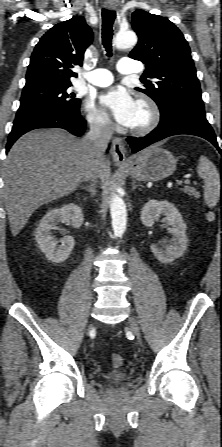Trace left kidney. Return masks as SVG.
Returning <instances> with one entry per match:
<instances>
[{"label": "left kidney", "mask_w": 222, "mask_h": 447, "mask_svg": "<svg viewBox=\"0 0 222 447\" xmlns=\"http://www.w3.org/2000/svg\"><path fill=\"white\" fill-rule=\"evenodd\" d=\"M160 215H164L171 227L173 238L169 242L152 244L150 249L161 263H171L181 257L187 249L186 224L178 209L168 201L151 199L142 208L140 219L146 227H152Z\"/></svg>", "instance_id": "5707ae66"}]
</instances>
